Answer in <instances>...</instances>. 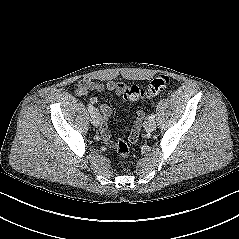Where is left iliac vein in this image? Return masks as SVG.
Wrapping results in <instances>:
<instances>
[{
  "label": "left iliac vein",
  "instance_id": "1",
  "mask_svg": "<svg viewBox=\"0 0 239 239\" xmlns=\"http://www.w3.org/2000/svg\"><path fill=\"white\" fill-rule=\"evenodd\" d=\"M155 128H156V124H155L154 120L148 119L144 122V129L147 132H152L155 130Z\"/></svg>",
  "mask_w": 239,
  "mask_h": 239
}]
</instances>
